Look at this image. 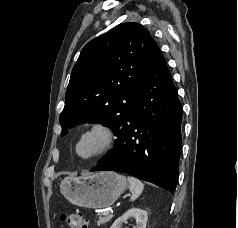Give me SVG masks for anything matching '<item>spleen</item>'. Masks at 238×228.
<instances>
[{"label": "spleen", "mask_w": 238, "mask_h": 228, "mask_svg": "<svg viewBox=\"0 0 238 228\" xmlns=\"http://www.w3.org/2000/svg\"><path fill=\"white\" fill-rule=\"evenodd\" d=\"M129 181V189L131 192V198L130 201L136 200L142 193L144 189V184L139 180L134 177H128Z\"/></svg>", "instance_id": "spleen-1"}]
</instances>
